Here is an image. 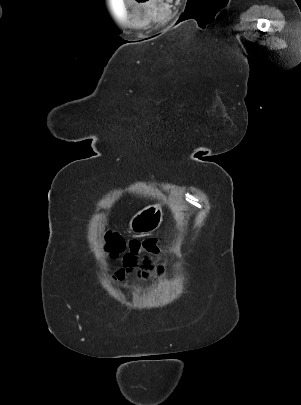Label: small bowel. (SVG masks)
Listing matches in <instances>:
<instances>
[{"label": "small bowel", "mask_w": 301, "mask_h": 405, "mask_svg": "<svg viewBox=\"0 0 301 405\" xmlns=\"http://www.w3.org/2000/svg\"><path fill=\"white\" fill-rule=\"evenodd\" d=\"M138 259L136 256L128 255L123 259V266L117 270L114 274L115 280H123L128 274L134 272L138 279L145 280L150 277L154 270V266L149 260L143 261V267L141 269H135ZM157 275H160L163 272V268L158 266L155 269Z\"/></svg>", "instance_id": "c3829d8e"}]
</instances>
